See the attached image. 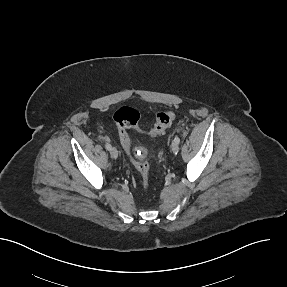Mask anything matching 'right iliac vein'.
Instances as JSON below:
<instances>
[{
    "label": "right iliac vein",
    "mask_w": 287,
    "mask_h": 287,
    "mask_svg": "<svg viewBox=\"0 0 287 287\" xmlns=\"http://www.w3.org/2000/svg\"><path fill=\"white\" fill-rule=\"evenodd\" d=\"M110 155H111V157H112L113 159H117V157H118V151H117V149H116V148H111V149H110Z\"/></svg>",
    "instance_id": "1"
}]
</instances>
